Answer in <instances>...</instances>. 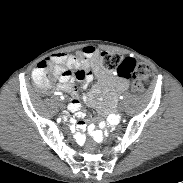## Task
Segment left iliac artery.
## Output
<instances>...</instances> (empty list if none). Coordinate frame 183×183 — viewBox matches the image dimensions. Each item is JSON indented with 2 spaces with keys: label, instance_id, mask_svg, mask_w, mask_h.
<instances>
[{
  "label": "left iliac artery",
  "instance_id": "obj_1",
  "mask_svg": "<svg viewBox=\"0 0 183 183\" xmlns=\"http://www.w3.org/2000/svg\"><path fill=\"white\" fill-rule=\"evenodd\" d=\"M119 98L122 100L123 99V96H120Z\"/></svg>",
  "mask_w": 183,
  "mask_h": 183
}]
</instances>
